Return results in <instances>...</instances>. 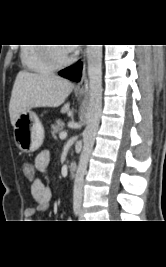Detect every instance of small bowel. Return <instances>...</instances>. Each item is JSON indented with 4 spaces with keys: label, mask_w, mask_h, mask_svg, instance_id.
<instances>
[{
    "label": "small bowel",
    "mask_w": 166,
    "mask_h": 267,
    "mask_svg": "<svg viewBox=\"0 0 166 267\" xmlns=\"http://www.w3.org/2000/svg\"><path fill=\"white\" fill-rule=\"evenodd\" d=\"M51 154L48 150H43L35 157L33 173L37 172L42 176H35L32 178L31 193L36 201V207L29 208L25 212L27 218H32L36 213H42L49 209L52 199V188L48 185V180L44 175L49 162Z\"/></svg>",
    "instance_id": "obj_1"
}]
</instances>
